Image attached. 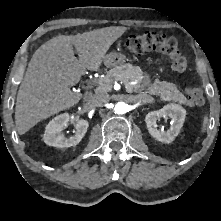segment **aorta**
Returning a JSON list of instances; mask_svg holds the SVG:
<instances>
[{
	"label": "aorta",
	"mask_w": 221,
	"mask_h": 221,
	"mask_svg": "<svg viewBox=\"0 0 221 221\" xmlns=\"http://www.w3.org/2000/svg\"><path fill=\"white\" fill-rule=\"evenodd\" d=\"M116 114H125L128 111V105L125 102H117L114 107Z\"/></svg>",
	"instance_id": "obj_1"
}]
</instances>
